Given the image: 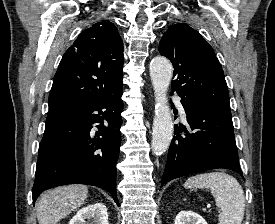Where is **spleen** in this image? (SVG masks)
<instances>
[{
    "mask_svg": "<svg viewBox=\"0 0 275 224\" xmlns=\"http://www.w3.org/2000/svg\"><path fill=\"white\" fill-rule=\"evenodd\" d=\"M186 189H208L221 209L218 224H241L245 211V196L239 182L223 172L202 173L184 183Z\"/></svg>",
    "mask_w": 275,
    "mask_h": 224,
    "instance_id": "1",
    "label": "spleen"
}]
</instances>
